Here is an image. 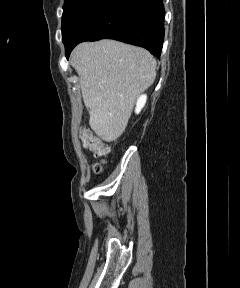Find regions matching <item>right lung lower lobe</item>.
Listing matches in <instances>:
<instances>
[{
	"label": "right lung lower lobe",
	"mask_w": 240,
	"mask_h": 288,
	"mask_svg": "<svg viewBox=\"0 0 240 288\" xmlns=\"http://www.w3.org/2000/svg\"><path fill=\"white\" fill-rule=\"evenodd\" d=\"M164 16L162 0H116L78 43L115 39L144 47L159 57L164 41ZM77 44L65 48L67 58Z\"/></svg>",
	"instance_id": "obj_1"
}]
</instances>
